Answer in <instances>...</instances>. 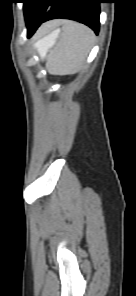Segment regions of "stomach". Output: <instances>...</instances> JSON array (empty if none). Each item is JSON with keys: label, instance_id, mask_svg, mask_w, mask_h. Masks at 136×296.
I'll return each instance as SVG.
<instances>
[{"label": "stomach", "instance_id": "obj_1", "mask_svg": "<svg viewBox=\"0 0 136 296\" xmlns=\"http://www.w3.org/2000/svg\"><path fill=\"white\" fill-rule=\"evenodd\" d=\"M48 36H49V35H48ZM48 36H46V37H44L43 39L39 40V41L35 44V46H36L37 44H42V43L44 42V40H45ZM52 44H53V42H49V43H47V44H46L47 49H48Z\"/></svg>", "mask_w": 136, "mask_h": 296}]
</instances>
